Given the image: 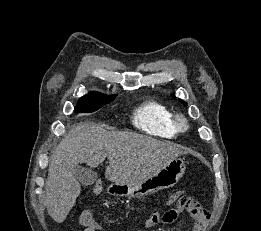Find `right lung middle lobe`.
Returning <instances> with one entry per match:
<instances>
[{
    "label": "right lung middle lobe",
    "mask_w": 261,
    "mask_h": 231,
    "mask_svg": "<svg viewBox=\"0 0 261 231\" xmlns=\"http://www.w3.org/2000/svg\"><path fill=\"white\" fill-rule=\"evenodd\" d=\"M115 97L114 95L83 96L78 100L74 111L84 113L95 112L103 105L112 102Z\"/></svg>",
    "instance_id": "dd1d6c3e"
}]
</instances>
